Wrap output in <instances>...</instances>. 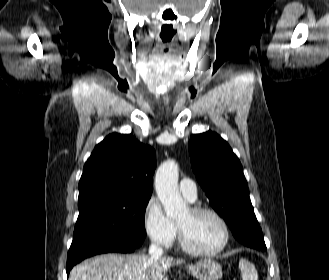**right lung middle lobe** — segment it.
I'll return each instance as SVG.
<instances>
[{
  "label": "right lung middle lobe",
  "mask_w": 329,
  "mask_h": 280,
  "mask_svg": "<svg viewBox=\"0 0 329 280\" xmlns=\"http://www.w3.org/2000/svg\"><path fill=\"white\" fill-rule=\"evenodd\" d=\"M151 196H119L79 201V216L68 258L94 242L139 247L146 236L145 208Z\"/></svg>",
  "instance_id": "obj_1"
}]
</instances>
